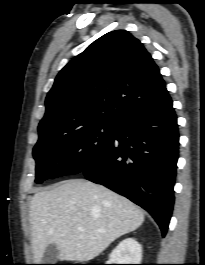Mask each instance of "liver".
I'll use <instances>...</instances> for the list:
<instances>
[{
  "label": "liver",
  "mask_w": 205,
  "mask_h": 265,
  "mask_svg": "<svg viewBox=\"0 0 205 265\" xmlns=\"http://www.w3.org/2000/svg\"><path fill=\"white\" fill-rule=\"evenodd\" d=\"M30 218L34 262L42 261L49 244L57 246L60 260L84 262L140 227L144 212L104 186L71 179L36 192Z\"/></svg>",
  "instance_id": "1"
}]
</instances>
